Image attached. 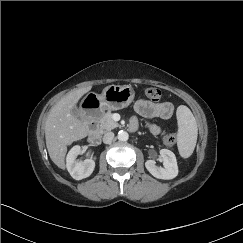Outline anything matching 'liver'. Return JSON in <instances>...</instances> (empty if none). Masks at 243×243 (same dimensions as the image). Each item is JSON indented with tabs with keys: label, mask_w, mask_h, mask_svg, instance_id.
Returning a JSON list of instances; mask_svg holds the SVG:
<instances>
[{
	"label": "liver",
	"mask_w": 243,
	"mask_h": 243,
	"mask_svg": "<svg viewBox=\"0 0 243 243\" xmlns=\"http://www.w3.org/2000/svg\"><path fill=\"white\" fill-rule=\"evenodd\" d=\"M91 90V86L72 90L51 109L45 124L46 147L53 163L65 169L67 146L85 138L89 129L72 114L80 98Z\"/></svg>",
	"instance_id": "liver-1"
}]
</instances>
